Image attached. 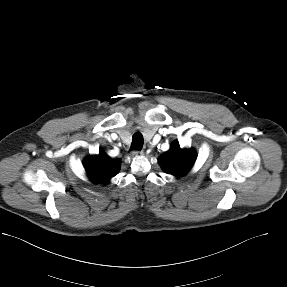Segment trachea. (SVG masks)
Returning a JSON list of instances; mask_svg holds the SVG:
<instances>
[{"label":"trachea","instance_id":"trachea-1","mask_svg":"<svg viewBox=\"0 0 287 287\" xmlns=\"http://www.w3.org/2000/svg\"><path fill=\"white\" fill-rule=\"evenodd\" d=\"M143 136L140 132H136L132 137V144L131 149L132 150H141L143 147Z\"/></svg>","mask_w":287,"mask_h":287}]
</instances>
